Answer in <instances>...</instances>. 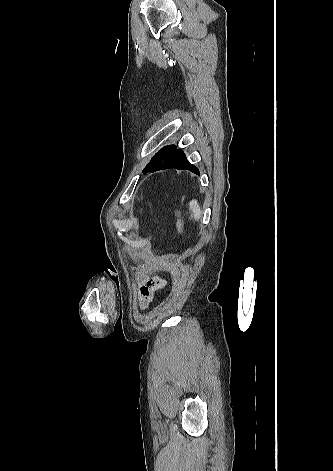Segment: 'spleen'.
<instances>
[{
    "mask_svg": "<svg viewBox=\"0 0 333 471\" xmlns=\"http://www.w3.org/2000/svg\"><path fill=\"white\" fill-rule=\"evenodd\" d=\"M189 209L192 212V215H191L192 218H194L195 220H198V219L201 218L202 212H201V208H200L197 200L190 201Z\"/></svg>",
    "mask_w": 333,
    "mask_h": 471,
    "instance_id": "1",
    "label": "spleen"
}]
</instances>
